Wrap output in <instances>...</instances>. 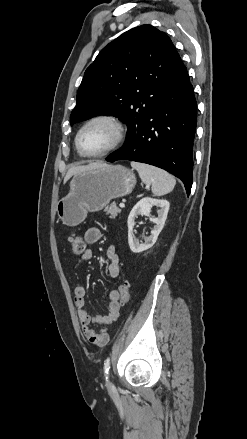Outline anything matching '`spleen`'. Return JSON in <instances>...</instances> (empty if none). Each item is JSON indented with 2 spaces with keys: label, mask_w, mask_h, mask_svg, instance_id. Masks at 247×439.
Wrapping results in <instances>:
<instances>
[{
  "label": "spleen",
  "mask_w": 247,
  "mask_h": 439,
  "mask_svg": "<svg viewBox=\"0 0 247 439\" xmlns=\"http://www.w3.org/2000/svg\"><path fill=\"white\" fill-rule=\"evenodd\" d=\"M131 167L139 173L141 180L151 185L152 193L155 196H163L171 192L176 184L172 175L163 169L140 162H131Z\"/></svg>",
  "instance_id": "3e777b00"
}]
</instances>
